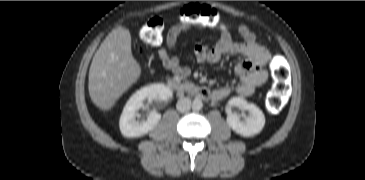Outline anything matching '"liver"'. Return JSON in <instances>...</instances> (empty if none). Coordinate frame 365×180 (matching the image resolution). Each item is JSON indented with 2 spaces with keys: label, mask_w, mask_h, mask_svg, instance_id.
I'll use <instances>...</instances> for the list:
<instances>
[{
  "label": "liver",
  "mask_w": 365,
  "mask_h": 180,
  "mask_svg": "<svg viewBox=\"0 0 365 180\" xmlns=\"http://www.w3.org/2000/svg\"><path fill=\"white\" fill-rule=\"evenodd\" d=\"M141 75L131 50L128 29H113L95 53L89 69V95L102 110H110Z\"/></svg>",
  "instance_id": "6515ba94"
}]
</instances>
